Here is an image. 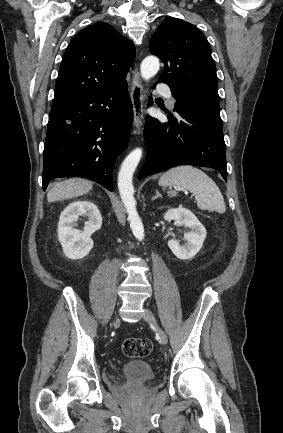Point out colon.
I'll list each match as a JSON object with an SVG mask.
<instances>
[{
    "mask_svg": "<svg viewBox=\"0 0 283 433\" xmlns=\"http://www.w3.org/2000/svg\"><path fill=\"white\" fill-rule=\"evenodd\" d=\"M152 342L146 338H129L122 345L123 353L128 357L142 358L152 351Z\"/></svg>",
    "mask_w": 283,
    "mask_h": 433,
    "instance_id": "obj_1",
    "label": "colon"
}]
</instances>
